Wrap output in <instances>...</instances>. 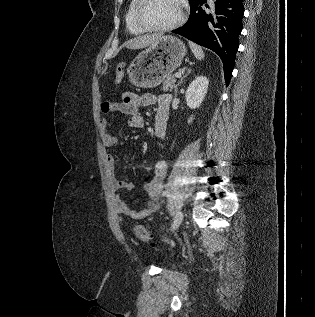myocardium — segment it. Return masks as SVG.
Here are the masks:
<instances>
[{"mask_svg": "<svg viewBox=\"0 0 315 317\" xmlns=\"http://www.w3.org/2000/svg\"><path fill=\"white\" fill-rule=\"evenodd\" d=\"M147 0H137L136 6L134 8V13H133V18H134V22L136 24L137 27H139L141 30L145 31V32H166V31H171L177 27H179L180 25L183 24V22L185 21L186 18V8L185 5L183 3L182 0H178V4H179V15L177 17V19L165 26H150L145 24L142 19H141V9L143 7V5L146 3Z\"/></svg>", "mask_w": 315, "mask_h": 317, "instance_id": "1", "label": "myocardium"}]
</instances>
